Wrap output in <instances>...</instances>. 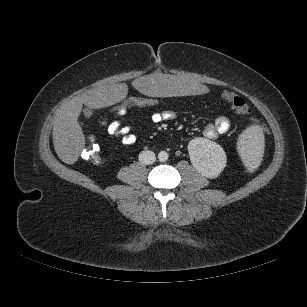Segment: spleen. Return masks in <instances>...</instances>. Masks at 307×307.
I'll return each instance as SVG.
<instances>
[{
	"mask_svg": "<svg viewBox=\"0 0 307 307\" xmlns=\"http://www.w3.org/2000/svg\"><path fill=\"white\" fill-rule=\"evenodd\" d=\"M240 140L241 159L248 166L257 165L262 159V132L258 126H251Z\"/></svg>",
	"mask_w": 307,
	"mask_h": 307,
	"instance_id": "3e777b00",
	"label": "spleen"
}]
</instances>
